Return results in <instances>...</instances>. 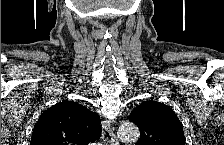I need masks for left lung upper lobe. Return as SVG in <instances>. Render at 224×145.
Wrapping results in <instances>:
<instances>
[{
	"instance_id": "obj_1",
	"label": "left lung upper lobe",
	"mask_w": 224,
	"mask_h": 145,
	"mask_svg": "<svg viewBox=\"0 0 224 145\" xmlns=\"http://www.w3.org/2000/svg\"><path fill=\"white\" fill-rule=\"evenodd\" d=\"M130 121L140 130L137 145H185L181 123L166 105L153 100L136 107Z\"/></svg>"
}]
</instances>
